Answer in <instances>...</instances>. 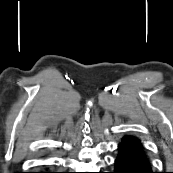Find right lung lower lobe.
I'll list each match as a JSON object with an SVG mask.
<instances>
[{
	"label": "right lung lower lobe",
	"instance_id": "right-lung-lower-lobe-1",
	"mask_svg": "<svg viewBox=\"0 0 173 173\" xmlns=\"http://www.w3.org/2000/svg\"><path fill=\"white\" fill-rule=\"evenodd\" d=\"M37 173H52V172H46V171L44 172V171H43V172H37Z\"/></svg>",
	"mask_w": 173,
	"mask_h": 173
}]
</instances>
